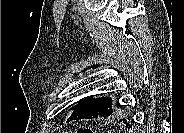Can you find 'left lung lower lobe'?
<instances>
[{
	"mask_svg": "<svg viewBox=\"0 0 184 133\" xmlns=\"http://www.w3.org/2000/svg\"><path fill=\"white\" fill-rule=\"evenodd\" d=\"M121 107L119 103H113L112 99L109 97L95 98L89 96L74 108L68 122L72 120L92 119L119 114L122 116L119 121L130 128L132 127L133 119L129 116L128 111H122Z\"/></svg>",
	"mask_w": 184,
	"mask_h": 133,
	"instance_id": "left-lung-lower-lobe-1",
	"label": "left lung lower lobe"
}]
</instances>
